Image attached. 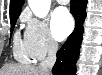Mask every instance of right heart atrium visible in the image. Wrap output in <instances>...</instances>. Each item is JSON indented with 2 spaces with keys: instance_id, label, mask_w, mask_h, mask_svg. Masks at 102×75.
Here are the masks:
<instances>
[{
  "instance_id": "right-heart-atrium-1",
  "label": "right heart atrium",
  "mask_w": 102,
  "mask_h": 75,
  "mask_svg": "<svg viewBox=\"0 0 102 75\" xmlns=\"http://www.w3.org/2000/svg\"><path fill=\"white\" fill-rule=\"evenodd\" d=\"M25 23L24 38L27 49L34 60L44 59L56 50L57 44L52 39L47 23L30 15L23 17Z\"/></svg>"
}]
</instances>
